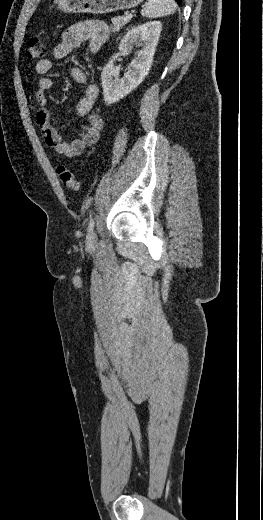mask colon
<instances>
[{"instance_id":"5ec220e1","label":"colon","mask_w":263,"mask_h":520,"mask_svg":"<svg viewBox=\"0 0 263 520\" xmlns=\"http://www.w3.org/2000/svg\"><path fill=\"white\" fill-rule=\"evenodd\" d=\"M45 53L43 41L40 37H32L28 43L27 57L29 59L42 58ZM57 174L62 184L73 191L79 189V181L73 172L66 166H59L57 168Z\"/></svg>"}]
</instances>
